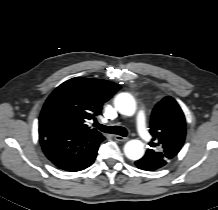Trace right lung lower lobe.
Segmentation results:
<instances>
[{
    "label": "right lung lower lobe",
    "mask_w": 218,
    "mask_h": 210,
    "mask_svg": "<svg viewBox=\"0 0 218 210\" xmlns=\"http://www.w3.org/2000/svg\"><path fill=\"white\" fill-rule=\"evenodd\" d=\"M102 134H77L66 130L39 129L46 157L58 168L76 172L89 167L97 156Z\"/></svg>",
    "instance_id": "1"
}]
</instances>
